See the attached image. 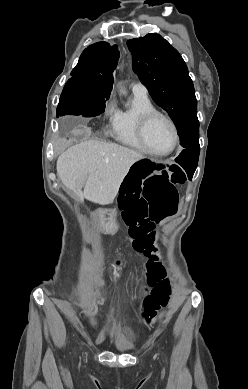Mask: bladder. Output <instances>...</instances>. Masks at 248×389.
<instances>
[{
    "mask_svg": "<svg viewBox=\"0 0 248 389\" xmlns=\"http://www.w3.org/2000/svg\"><path fill=\"white\" fill-rule=\"evenodd\" d=\"M97 341L99 343L105 344L108 348L118 353H125L132 348L131 345L124 342L123 340L111 338L104 334H100L97 338Z\"/></svg>",
    "mask_w": 248,
    "mask_h": 389,
    "instance_id": "31cf9c89",
    "label": "bladder"
}]
</instances>
